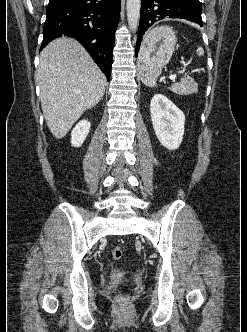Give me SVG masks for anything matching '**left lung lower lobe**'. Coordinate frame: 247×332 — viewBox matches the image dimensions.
I'll return each instance as SVG.
<instances>
[{"instance_id": "obj_1", "label": "left lung lower lobe", "mask_w": 247, "mask_h": 332, "mask_svg": "<svg viewBox=\"0 0 247 332\" xmlns=\"http://www.w3.org/2000/svg\"><path fill=\"white\" fill-rule=\"evenodd\" d=\"M199 0H141L140 23L136 43L139 51L145 31L163 18H180L203 26Z\"/></svg>"}]
</instances>
